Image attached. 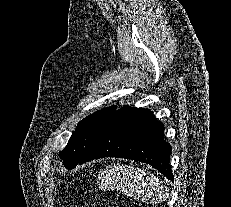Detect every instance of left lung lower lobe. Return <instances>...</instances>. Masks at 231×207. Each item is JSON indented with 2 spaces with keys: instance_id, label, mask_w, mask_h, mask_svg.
Segmentation results:
<instances>
[{
  "instance_id": "obj_1",
  "label": "left lung lower lobe",
  "mask_w": 231,
  "mask_h": 207,
  "mask_svg": "<svg viewBox=\"0 0 231 207\" xmlns=\"http://www.w3.org/2000/svg\"><path fill=\"white\" fill-rule=\"evenodd\" d=\"M163 133L164 125L151 111L125 106L105 121L78 164L102 157L133 159L150 164L173 181L169 165L172 148Z\"/></svg>"
}]
</instances>
